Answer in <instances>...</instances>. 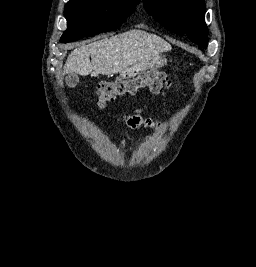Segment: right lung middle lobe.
Listing matches in <instances>:
<instances>
[{"instance_id":"dd1d6c3e","label":"right lung middle lobe","mask_w":256,"mask_h":267,"mask_svg":"<svg viewBox=\"0 0 256 267\" xmlns=\"http://www.w3.org/2000/svg\"><path fill=\"white\" fill-rule=\"evenodd\" d=\"M132 0H70L65 6L67 30L60 41H76L85 36L112 31L135 11Z\"/></svg>"}]
</instances>
